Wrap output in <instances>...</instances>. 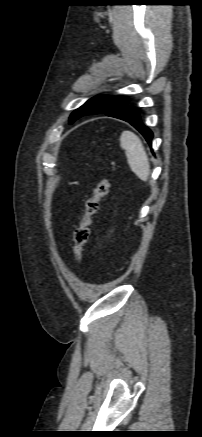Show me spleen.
<instances>
[{"label":"spleen","instance_id":"obj_1","mask_svg":"<svg viewBox=\"0 0 202 437\" xmlns=\"http://www.w3.org/2000/svg\"><path fill=\"white\" fill-rule=\"evenodd\" d=\"M120 146L125 150L127 162L138 178L147 181L150 175V163L139 137L131 131H123Z\"/></svg>","mask_w":202,"mask_h":437}]
</instances>
